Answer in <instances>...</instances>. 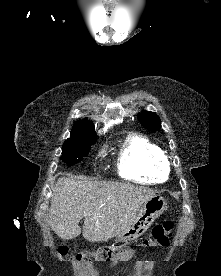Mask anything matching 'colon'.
Wrapping results in <instances>:
<instances>
[{
	"label": "colon",
	"mask_w": 221,
	"mask_h": 276,
	"mask_svg": "<svg viewBox=\"0 0 221 276\" xmlns=\"http://www.w3.org/2000/svg\"><path fill=\"white\" fill-rule=\"evenodd\" d=\"M173 234V223L164 221L155 225L149 237L142 242H131V244H121L120 246L101 245L100 249L94 252L78 253L75 258L79 261L89 262H113L120 253H129L133 247H163L168 246ZM61 256L68 255L66 248H60Z\"/></svg>",
	"instance_id": "5ec220e1"
}]
</instances>
